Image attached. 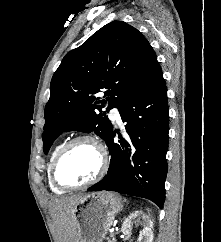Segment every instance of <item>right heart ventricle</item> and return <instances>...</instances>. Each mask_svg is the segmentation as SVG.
Instances as JSON below:
<instances>
[{
  "label": "right heart ventricle",
  "instance_id": "obj_1",
  "mask_svg": "<svg viewBox=\"0 0 221 242\" xmlns=\"http://www.w3.org/2000/svg\"><path fill=\"white\" fill-rule=\"evenodd\" d=\"M63 144H64L63 142H59L53 147V149L50 153L48 165H47V176H48L49 188L51 189V191H53L54 193H57V194L63 193L65 190L60 189V188H58L57 186L54 185V183L51 180L50 169H51V165H52V162H53L56 154L58 153L60 148L63 146Z\"/></svg>",
  "mask_w": 221,
  "mask_h": 242
}]
</instances>
